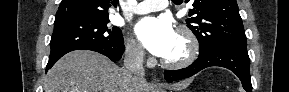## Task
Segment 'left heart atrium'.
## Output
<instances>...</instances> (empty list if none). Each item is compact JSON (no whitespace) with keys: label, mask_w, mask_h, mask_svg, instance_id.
Wrapping results in <instances>:
<instances>
[{"label":"left heart atrium","mask_w":289,"mask_h":92,"mask_svg":"<svg viewBox=\"0 0 289 92\" xmlns=\"http://www.w3.org/2000/svg\"><path fill=\"white\" fill-rule=\"evenodd\" d=\"M141 44L153 55L165 58L171 51L177 33L165 18L146 17L134 28Z\"/></svg>","instance_id":"39dd6f15"}]
</instances>
